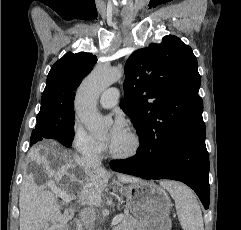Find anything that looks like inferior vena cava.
Returning <instances> with one entry per match:
<instances>
[{
	"label": "inferior vena cava",
	"instance_id": "1",
	"mask_svg": "<svg viewBox=\"0 0 241 230\" xmlns=\"http://www.w3.org/2000/svg\"><path fill=\"white\" fill-rule=\"evenodd\" d=\"M83 166L86 172H90L93 167H99L101 160L98 155L89 153L82 157ZM81 222L85 230H94L95 210L93 208H85L80 213Z\"/></svg>",
	"mask_w": 241,
	"mask_h": 230
}]
</instances>
